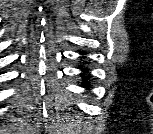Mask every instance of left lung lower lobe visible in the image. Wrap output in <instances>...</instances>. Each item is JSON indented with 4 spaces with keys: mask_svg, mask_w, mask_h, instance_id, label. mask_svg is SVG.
<instances>
[{
    "mask_svg": "<svg viewBox=\"0 0 153 134\" xmlns=\"http://www.w3.org/2000/svg\"><path fill=\"white\" fill-rule=\"evenodd\" d=\"M86 53H82V58L83 59H85L86 57L84 56ZM80 69H81V71H82V73H81V76H82V78L83 79H85V78H90V75L88 74L89 73V68H85V67H80ZM86 74H88L87 76H86ZM85 82V87H87L88 86V81L87 80H85L84 81Z\"/></svg>",
    "mask_w": 153,
    "mask_h": 134,
    "instance_id": "obj_1",
    "label": "left lung lower lobe"
}]
</instances>
